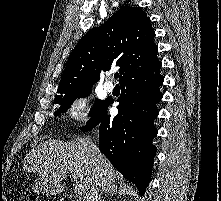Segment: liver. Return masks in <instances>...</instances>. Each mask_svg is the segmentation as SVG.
<instances>
[{
    "label": "liver",
    "mask_w": 221,
    "mask_h": 201,
    "mask_svg": "<svg viewBox=\"0 0 221 201\" xmlns=\"http://www.w3.org/2000/svg\"><path fill=\"white\" fill-rule=\"evenodd\" d=\"M90 145L91 141L86 138H76L72 142H41L26 155L24 169L36 173L56 188L68 173L78 179L86 191L91 190L96 178L102 188L116 187V170L98 149L93 154Z\"/></svg>",
    "instance_id": "1"
}]
</instances>
